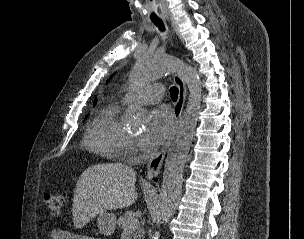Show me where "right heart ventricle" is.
I'll return each instance as SVG.
<instances>
[{"mask_svg": "<svg viewBox=\"0 0 304 239\" xmlns=\"http://www.w3.org/2000/svg\"><path fill=\"white\" fill-rule=\"evenodd\" d=\"M120 105L112 103L93 118L84 136V146L101 156L117 160L123 153L128 136L118 119Z\"/></svg>", "mask_w": 304, "mask_h": 239, "instance_id": "1", "label": "right heart ventricle"}]
</instances>
